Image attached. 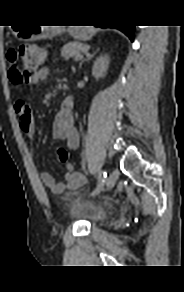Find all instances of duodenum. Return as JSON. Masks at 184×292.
<instances>
[{
	"mask_svg": "<svg viewBox=\"0 0 184 292\" xmlns=\"http://www.w3.org/2000/svg\"><path fill=\"white\" fill-rule=\"evenodd\" d=\"M64 105L70 106L72 104V98L66 97L63 101Z\"/></svg>",
	"mask_w": 184,
	"mask_h": 292,
	"instance_id": "duodenum-1",
	"label": "duodenum"
}]
</instances>
